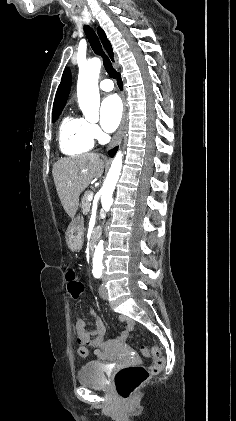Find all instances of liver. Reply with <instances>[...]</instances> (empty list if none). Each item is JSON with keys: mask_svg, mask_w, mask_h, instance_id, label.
Segmentation results:
<instances>
[{"mask_svg": "<svg viewBox=\"0 0 236 421\" xmlns=\"http://www.w3.org/2000/svg\"><path fill=\"white\" fill-rule=\"evenodd\" d=\"M105 164L96 152H86L79 156H66L53 164L52 174L67 215L74 219L82 190L90 184L95 176H102Z\"/></svg>", "mask_w": 236, "mask_h": 421, "instance_id": "6515ba94", "label": "liver"}]
</instances>
